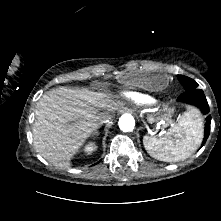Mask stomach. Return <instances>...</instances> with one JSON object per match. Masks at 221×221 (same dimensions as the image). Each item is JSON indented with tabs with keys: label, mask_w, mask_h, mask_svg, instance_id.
Here are the masks:
<instances>
[{
	"label": "stomach",
	"mask_w": 221,
	"mask_h": 221,
	"mask_svg": "<svg viewBox=\"0 0 221 221\" xmlns=\"http://www.w3.org/2000/svg\"><path fill=\"white\" fill-rule=\"evenodd\" d=\"M121 81L127 87L135 85L147 90L160 91L167 87L169 78L166 72L160 68H155L149 72H127L123 74Z\"/></svg>",
	"instance_id": "0dacf381"
}]
</instances>
